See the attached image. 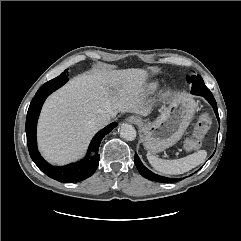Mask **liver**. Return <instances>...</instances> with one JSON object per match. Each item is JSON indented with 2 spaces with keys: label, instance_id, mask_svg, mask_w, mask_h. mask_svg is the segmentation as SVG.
Returning <instances> with one entry per match:
<instances>
[{
  "label": "liver",
  "instance_id": "6515ba94",
  "mask_svg": "<svg viewBox=\"0 0 241 241\" xmlns=\"http://www.w3.org/2000/svg\"><path fill=\"white\" fill-rule=\"evenodd\" d=\"M147 72L131 68L94 70L78 75L45 102L38 123V144L53 164L79 158L99 130L94 120L103 114L134 112L148 115Z\"/></svg>",
  "mask_w": 241,
  "mask_h": 241
}]
</instances>
